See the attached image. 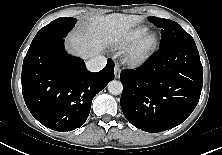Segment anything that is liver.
Instances as JSON below:
<instances>
[{"label": "liver", "instance_id": "6515ba94", "mask_svg": "<svg viewBox=\"0 0 222 155\" xmlns=\"http://www.w3.org/2000/svg\"><path fill=\"white\" fill-rule=\"evenodd\" d=\"M141 20V16L120 13L91 17L81 31L69 36L70 49L84 59L92 58L98 55L105 45L125 36Z\"/></svg>", "mask_w": 222, "mask_h": 155}]
</instances>
